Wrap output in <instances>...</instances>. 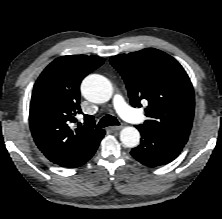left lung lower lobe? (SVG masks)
I'll return each mask as SVG.
<instances>
[{"label": "left lung lower lobe", "mask_w": 222, "mask_h": 219, "mask_svg": "<svg viewBox=\"0 0 222 219\" xmlns=\"http://www.w3.org/2000/svg\"><path fill=\"white\" fill-rule=\"evenodd\" d=\"M141 133V144L132 149L131 155L143 165L156 167L174 160L184 143L150 130L143 125L135 126Z\"/></svg>", "instance_id": "obj_1"}]
</instances>
